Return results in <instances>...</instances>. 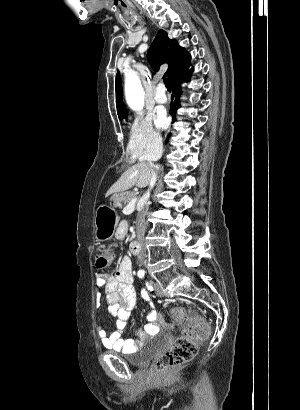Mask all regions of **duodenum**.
I'll return each instance as SVG.
<instances>
[{
  "mask_svg": "<svg viewBox=\"0 0 300 410\" xmlns=\"http://www.w3.org/2000/svg\"><path fill=\"white\" fill-rule=\"evenodd\" d=\"M139 245H140V244L138 243L137 240L132 241V242L130 243V251H131V253L136 254V255L140 254Z\"/></svg>",
  "mask_w": 300,
  "mask_h": 410,
  "instance_id": "obj_1",
  "label": "duodenum"
}]
</instances>
